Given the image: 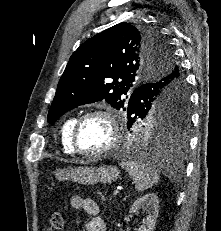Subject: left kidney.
<instances>
[{"mask_svg": "<svg viewBox=\"0 0 221 231\" xmlns=\"http://www.w3.org/2000/svg\"><path fill=\"white\" fill-rule=\"evenodd\" d=\"M140 209L146 210V216L143 224L138 231H153L159 215V200L156 194L148 193L134 201L130 208L131 213H138Z\"/></svg>", "mask_w": 221, "mask_h": 231, "instance_id": "5707ae66", "label": "left kidney"}]
</instances>
